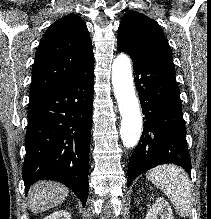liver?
<instances>
[{"label":"liver","instance_id":"liver-1","mask_svg":"<svg viewBox=\"0 0 211 219\" xmlns=\"http://www.w3.org/2000/svg\"><path fill=\"white\" fill-rule=\"evenodd\" d=\"M68 195L69 189L62 184L53 181H40L29 189V208L34 213L44 212L63 203Z\"/></svg>","mask_w":211,"mask_h":219}]
</instances>
